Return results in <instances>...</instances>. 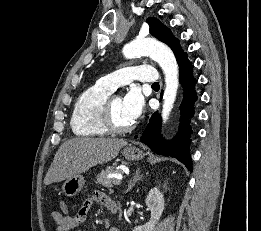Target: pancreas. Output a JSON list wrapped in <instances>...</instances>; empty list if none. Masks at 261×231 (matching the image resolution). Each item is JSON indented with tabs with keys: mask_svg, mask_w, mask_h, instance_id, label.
Masks as SVG:
<instances>
[{
	"mask_svg": "<svg viewBox=\"0 0 261 231\" xmlns=\"http://www.w3.org/2000/svg\"><path fill=\"white\" fill-rule=\"evenodd\" d=\"M122 172L120 170H115L114 167H107L105 170H102L97 176H96V182L106 188L113 187L115 178H108L109 174H116L119 175Z\"/></svg>",
	"mask_w": 261,
	"mask_h": 231,
	"instance_id": "obj_1",
	"label": "pancreas"
}]
</instances>
